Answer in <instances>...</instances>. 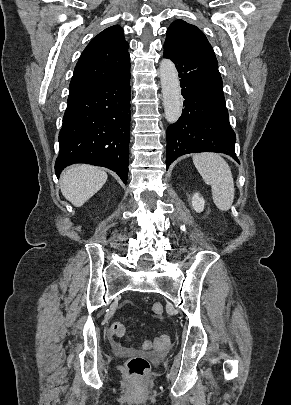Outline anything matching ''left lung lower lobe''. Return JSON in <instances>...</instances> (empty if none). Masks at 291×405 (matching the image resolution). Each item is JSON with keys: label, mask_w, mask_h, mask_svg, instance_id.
I'll use <instances>...</instances> for the list:
<instances>
[{"label": "left lung lower lobe", "mask_w": 291, "mask_h": 405, "mask_svg": "<svg viewBox=\"0 0 291 405\" xmlns=\"http://www.w3.org/2000/svg\"><path fill=\"white\" fill-rule=\"evenodd\" d=\"M163 56L175 63L185 98L182 115L167 129V169L179 156L197 152L224 153L239 163L216 58L166 42Z\"/></svg>", "instance_id": "1"}]
</instances>
